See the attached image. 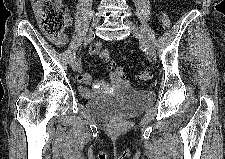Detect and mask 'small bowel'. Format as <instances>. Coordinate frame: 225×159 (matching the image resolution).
<instances>
[{
	"label": "small bowel",
	"instance_id": "obj_1",
	"mask_svg": "<svg viewBox=\"0 0 225 159\" xmlns=\"http://www.w3.org/2000/svg\"><path fill=\"white\" fill-rule=\"evenodd\" d=\"M35 11L38 14L36 10V5H35ZM49 39L56 45V46H61L65 42V36L63 38L59 37H53L50 36ZM101 49V44L100 43H95L94 45L91 46L90 48V53L91 54H96L99 52ZM114 79V78H113ZM116 80V79H114ZM90 81V75L82 73L77 77V82H78V89L81 95L84 97H90L94 95V93L102 86L103 82L102 81H97L95 82L94 85L88 86L86 83Z\"/></svg>",
	"mask_w": 225,
	"mask_h": 159
}]
</instances>
